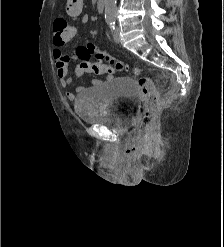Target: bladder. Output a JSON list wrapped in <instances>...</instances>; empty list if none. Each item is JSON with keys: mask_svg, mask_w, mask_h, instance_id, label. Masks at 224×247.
<instances>
[{"mask_svg": "<svg viewBox=\"0 0 224 247\" xmlns=\"http://www.w3.org/2000/svg\"><path fill=\"white\" fill-rule=\"evenodd\" d=\"M139 102L134 80L111 78L85 88L75 101L74 111L85 124L125 133L133 126Z\"/></svg>", "mask_w": 224, "mask_h": 247, "instance_id": "1", "label": "bladder"}]
</instances>
